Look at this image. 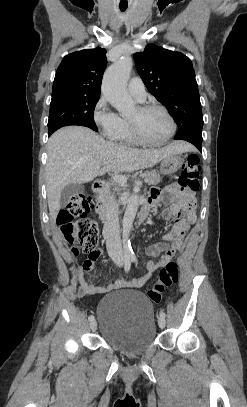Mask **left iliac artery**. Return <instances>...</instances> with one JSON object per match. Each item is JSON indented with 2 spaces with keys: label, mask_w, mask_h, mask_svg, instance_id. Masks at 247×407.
Here are the masks:
<instances>
[{
  "label": "left iliac artery",
  "mask_w": 247,
  "mask_h": 407,
  "mask_svg": "<svg viewBox=\"0 0 247 407\" xmlns=\"http://www.w3.org/2000/svg\"><path fill=\"white\" fill-rule=\"evenodd\" d=\"M131 261H132V262H136V261H137V259H136V256H135V255H131ZM160 317H163V318H165V317H166V314H165V312H164V311H160Z\"/></svg>",
  "instance_id": "obj_1"
}]
</instances>
